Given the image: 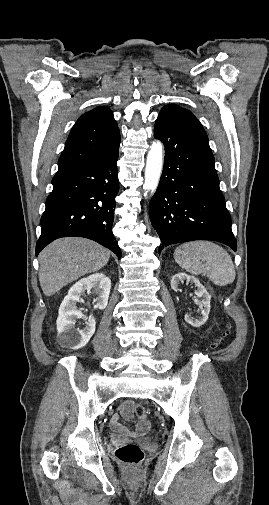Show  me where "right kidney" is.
Wrapping results in <instances>:
<instances>
[{"instance_id": "1", "label": "right kidney", "mask_w": 269, "mask_h": 505, "mask_svg": "<svg viewBox=\"0 0 269 505\" xmlns=\"http://www.w3.org/2000/svg\"><path fill=\"white\" fill-rule=\"evenodd\" d=\"M110 289L111 280L103 273H96L83 278L70 288L61 303L57 318L58 338L62 345L76 350L84 347L89 342L95 332L96 321L92 316L85 317L77 309L76 303L80 301L81 296L86 291L93 290L98 295L95 307L105 309L108 304ZM82 317L87 319L86 326L83 329L76 328V319Z\"/></svg>"}]
</instances>
